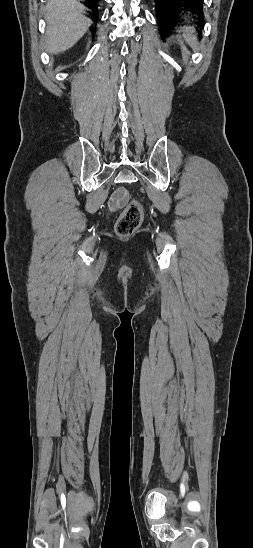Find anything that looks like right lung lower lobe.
Masks as SVG:
<instances>
[{
	"instance_id": "obj_1",
	"label": "right lung lower lobe",
	"mask_w": 253,
	"mask_h": 548,
	"mask_svg": "<svg viewBox=\"0 0 253 548\" xmlns=\"http://www.w3.org/2000/svg\"><path fill=\"white\" fill-rule=\"evenodd\" d=\"M88 3L92 4L94 7L98 5L100 0H86Z\"/></svg>"
}]
</instances>
